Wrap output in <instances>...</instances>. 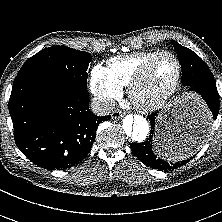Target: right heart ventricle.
<instances>
[{"instance_id": "e07e8e85", "label": "right heart ventricle", "mask_w": 222, "mask_h": 222, "mask_svg": "<svg viewBox=\"0 0 222 222\" xmlns=\"http://www.w3.org/2000/svg\"><path fill=\"white\" fill-rule=\"evenodd\" d=\"M159 51L138 52L108 61L106 70L110 79L121 89L129 87L138 71Z\"/></svg>"}]
</instances>
